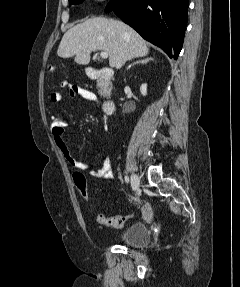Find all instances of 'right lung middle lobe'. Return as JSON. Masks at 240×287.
Listing matches in <instances>:
<instances>
[{"mask_svg": "<svg viewBox=\"0 0 240 287\" xmlns=\"http://www.w3.org/2000/svg\"><path fill=\"white\" fill-rule=\"evenodd\" d=\"M84 0H69L70 4L82 3Z\"/></svg>", "mask_w": 240, "mask_h": 287, "instance_id": "obj_1", "label": "right lung middle lobe"}]
</instances>
